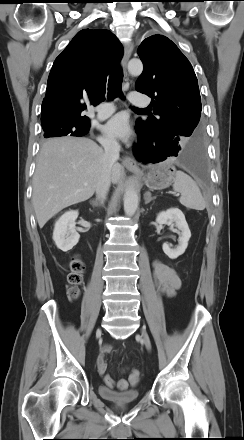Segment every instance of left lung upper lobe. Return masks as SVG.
<instances>
[{
  "mask_svg": "<svg viewBox=\"0 0 244 440\" xmlns=\"http://www.w3.org/2000/svg\"><path fill=\"white\" fill-rule=\"evenodd\" d=\"M138 55L144 70L135 88L152 98L149 110L155 115L137 123L158 129L171 142L179 143L181 137L200 138L201 98L191 63L163 35L143 40Z\"/></svg>",
  "mask_w": 244,
  "mask_h": 440,
  "instance_id": "obj_1",
  "label": "left lung upper lobe"
}]
</instances>
